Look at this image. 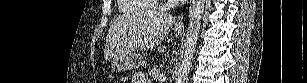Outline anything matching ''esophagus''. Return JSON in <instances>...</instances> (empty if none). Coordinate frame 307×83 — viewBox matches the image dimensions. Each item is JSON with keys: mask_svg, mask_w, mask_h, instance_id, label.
Instances as JSON below:
<instances>
[{"mask_svg": "<svg viewBox=\"0 0 307 83\" xmlns=\"http://www.w3.org/2000/svg\"><path fill=\"white\" fill-rule=\"evenodd\" d=\"M183 14H181L177 20V28L179 29H183L184 28V24H183Z\"/></svg>", "mask_w": 307, "mask_h": 83, "instance_id": "obj_1", "label": "esophagus"}]
</instances>
